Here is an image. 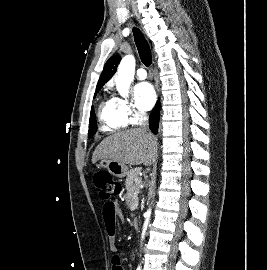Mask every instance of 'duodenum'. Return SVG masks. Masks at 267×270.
I'll list each match as a JSON object with an SVG mask.
<instances>
[{
	"label": "duodenum",
	"instance_id": "1",
	"mask_svg": "<svg viewBox=\"0 0 267 270\" xmlns=\"http://www.w3.org/2000/svg\"><path fill=\"white\" fill-rule=\"evenodd\" d=\"M133 226H134L135 228H138V227H139V221H138L137 219H134V220H133Z\"/></svg>",
	"mask_w": 267,
	"mask_h": 270
}]
</instances>
